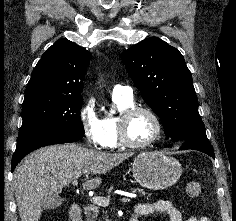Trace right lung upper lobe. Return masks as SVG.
<instances>
[{"mask_svg": "<svg viewBox=\"0 0 236 221\" xmlns=\"http://www.w3.org/2000/svg\"><path fill=\"white\" fill-rule=\"evenodd\" d=\"M90 53L67 39L50 46L33 69L26 94L81 95Z\"/></svg>", "mask_w": 236, "mask_h": 221, "instance_id": "obj_1", "label": "right lung upper lobe"}]
</instances>
